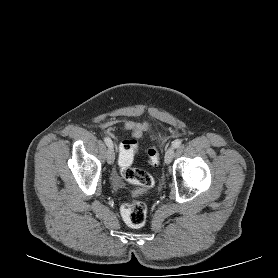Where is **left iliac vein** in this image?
Wrapping results in <instances>:
<instances>
[{
	"mask_svg": "<svg viewBox=\"0 0 278 278\" xmlns=\"http://www.w3.org/2000/svg\"><path fill=\"white\" fill-rule=\"evenodd\" d=\"M173 156H174V148L170 147L165 153V157H164L165 163L169 164L172 161Z\"/></svg>",
	"mask_w": 278,
	"mask_h": 278,
	"instance_id": "4c4485c4",
	"label": "left iliac vein"
}]
</instances>
